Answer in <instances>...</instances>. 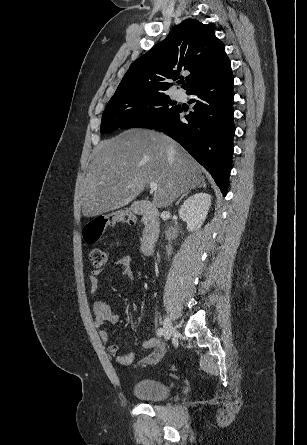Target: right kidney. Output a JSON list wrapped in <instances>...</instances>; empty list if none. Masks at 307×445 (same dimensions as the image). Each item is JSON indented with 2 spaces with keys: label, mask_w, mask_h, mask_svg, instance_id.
Returning a JSON list of instances; mask_svg holds the SVG:
<instances>
[{
  "label": "right kidney",
  "mask_w": 307,
  "mask_h": 445,
  "mask_svg": "<svg viewBox=\"0 0 307 445\" xmlns=\"http://www.w3.org/2000/svg\"><path fill=\"white\" fill-rule=\"evenodd\" d=\"M211 206V194L207 192H197L193 196H189L184 200L181 208H179V216L187 223V231H199L208 214Z\"/></svg>",
  "instance_id": "obj_1"
}]
</instances>
